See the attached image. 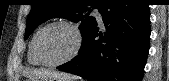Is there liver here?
<instances>
[{
	"label": "liver",
	"instance_id": "liver-1",
	"mask_svg": "<svg viewBox=\"0 0 169 81\" xmlns=\"http://www.w3.org/2000/svg\"><path fill=\"white\" fill-rule=\"evenodd\" d=\"M24 74L29 77L30 80H48V79H65L70 80L72 79L71 76L58 72V71H50V70H37V69H31Z\"/></svg>",
	"mask_w": 169,
	"mask_h": 81
}]
</instances>
